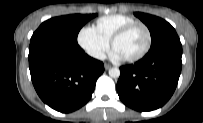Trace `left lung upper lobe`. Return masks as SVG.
<instances>
[{
  "instance_id": "obj_1",
  "label": "left lung upper lobe",
  "mask_w": 203,
  "mask_h": 123,
  "mask_svg": "<svg viewBox=\"0 0 203 123\" xmlns=\"http://www.w3.org/2000/svg\"><path fill=\"white\" fill-rule=\"evenodd\" d=\"M134 15L148 27L152 40L151 49L162 46L170 41L179 40L175 29L162 18L140 12H136Z\"/></svg>"
}]
</instances>
